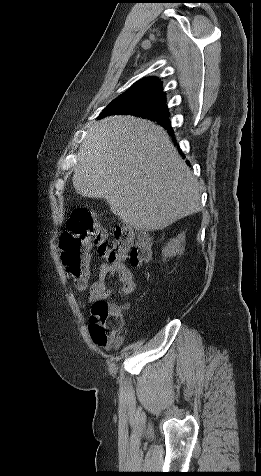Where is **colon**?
Returning a JSON list of instances; mask_svg holds the SVG:
<instances>
[{"instance_id": "5ec220e1", "label": "colon", "mask_w": 261, "mask_h": 476, "mask_svg": "<svg viewBox=\"0 0 261 476\" xmlns=\"http://www.w3.org/2000/svg\"><path fill=\"white\" fill-rule=\"evenodd\" d=\"M108 232L95 214L88 208L75 209L66 222V230L60 239L62 261L68 277L78 286L85 285L89 274L90 246H97L100 256L109 261L128 259L133 266L144 263L151 254L150 239L146 233H137L130 226H117L114 239L106 243ZM111 318L120 319L121 311L106 301L92 305L90 336L98 346L110 349L120 341V329H109Z\"/></svg>"}]
</instances>
